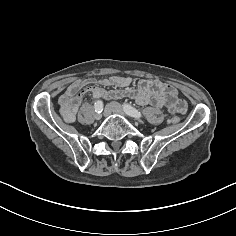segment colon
I'll return each mask as SVG.
<instances>
[{"label":"colon","instance_id":"colon-1","mask_svg":"<svg viewBox=\"0 0 236 236\" xmlns=\"http://www.w3.org/2000/svg\"><path fill=\"white\" fill-rule=\"evenodd\" d=\"M179 121V118L177 116H174L171 118L172 123H177Z\"/></svg>","mask_w":236,"mask_h":236}]
</instances>
